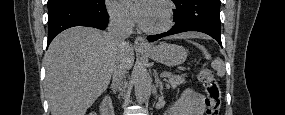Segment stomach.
<instances>
[{"mask_svg":"<svg viewBox=\"0 0 285 115\" xmlns=\"http://www.w3.org/2000/svg\"><path fill=\"white\" fill-rule=\"evenodd\" d=\"M153 60L166 66H177L185 62L187 51L185 48L175 44L161 43L149 51H144Z\"/></svg>","mask_w":285,"mask_h":115,"instance_id":"obj_1","label":"stomach"}]
</instances>
